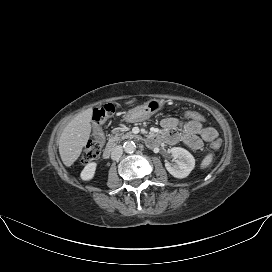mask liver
I'll list each match as a JSON object with an SVG mask.
<instances>
[{
  "mask_svg": "<svg viewBox=\"0 0 272 272\" xmlns=\"http://www.w3.org/2000/svg\"><path fill=\"white\" fill-rule=\"evenodd\" d=\"M91 110L73 118L64 128L59 139V153L65 166L70 167L80 156L91 133Z\"/></svg>",
  "mask_w": 272,
  "mask_h": 272,
  "instance_id": "1",
  "label": "liver"
}]
</instances>
